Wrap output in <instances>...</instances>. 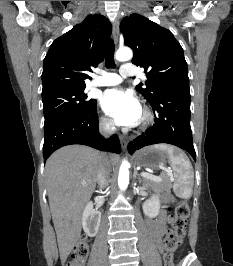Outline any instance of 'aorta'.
<instances>
[{
  "label": "aorta",
  "mask_w": 233,
  "mask_h": 266,
  "mask_svg": "<svg viewBox=\"0 0 233 266\" xmlns=\"http://www.w3.org/2000/svg\"><path fill=\"white\" fill-rule=\"evenodd\" d=\"M133 52L130 48H120L115 55L116 60L120 62L131 60ZM129 184V163L127 160H123L118 174V186L120 190L127 189Z\"/></svg>",
  "instance_id": "obj_1"
}]
</instances>
